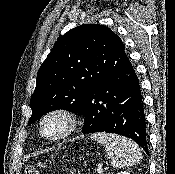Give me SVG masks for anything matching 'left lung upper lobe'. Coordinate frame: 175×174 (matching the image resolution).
<instances>
[{
  "instance_id": "5c2ea615",
  "label": "left lung upper lobe",
  "mask_w": 175,
  "mask_h": 174,
  "mask_svg": "<svg viewBox=\"0 0 175 174\" xmlns=\"http://www.w3.org/2000/svg\"><path fill=\"white\" fill-rule=\"evenodd\" d=\"M124 51L120 37L99 24L78 26L61 36L38 71L29 124L56 109L81 114L86 94Z\"/></svg>"
}]
</instances>
